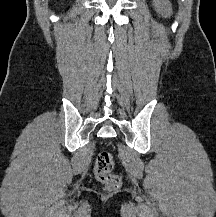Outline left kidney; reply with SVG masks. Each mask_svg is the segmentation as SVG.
Wrapping results in <instances>:
<instances>
[{"label": "left kidney", "instance_id": "5707ae66", "mask_svg": "<svg viewBox=\"0 0 216 217\" xmlns=\"http://www.w3.org/2000/svg\"><path fill=\"white\" fill-rule=\"evenodd\" d=\"M153 5L156 11L164 17H169L172 13V7L168 0H153Z\"/></svg>", "mask_w": 216, "mask_h": 217}]
</instances>
